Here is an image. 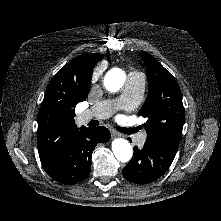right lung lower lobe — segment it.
Returning <instances> with one entry per match:
<instances>
[{"instance_id": "right-lung-lower-lobe-1", "label": "right lung lower lobe", "mask_w": 221, "mask_h": 221, "mask_svg": "<svg viewBox=\"0 0 221 221\" xmlns=\"http://www.w3.org/2000/svg\"><path fill=\"white\" fill-rule=\"evenodd\" d=\"M110 132L103 126L81 127L66 141L60 157L48 175L55 181L70 185L88 177L91 157L97 143H107Z\"/></svg>"}]
</instances>
